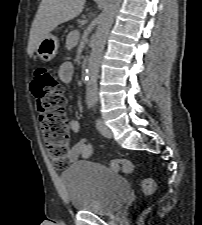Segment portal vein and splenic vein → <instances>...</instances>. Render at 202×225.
Instances as JSON below:
<instances>
[{
	"instance_id": "18ae733b",
	"label": "portal vein and splenic vein",
	"mask_w": 202,
	"mask_h": 225,
	"mask_svg": "<svg viewBox=\"0 0 202 225\" xmlns=\"http://www.w3.org/2000/svg\"><path fill=\"white\" fill-rule=\"evenodd\" d=\"M80 38V32L78 30H74L70 32L67 36L66 43H70L71 45H77Z\"/></svg>"
}]
</instances>
